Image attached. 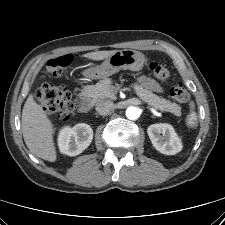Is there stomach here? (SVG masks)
Here are the masks:
<instances>
[{"mask_svg":"<svg viewBox=\"0 0 225 225\" xmlns=\"http://www.w3.org/2000/svg\"><path fill=\"white\" fill-rule=\"evenodd\" d=\"M145 62L144 55L136 50H118L106 58L100 65L90 68L86 74L90 78L109 77L120 70L139 71Z\"/></svg>","mask_w":225,"mask_h":225,"instance_id":"obj_1","label":"stomach"}]
</instances>
